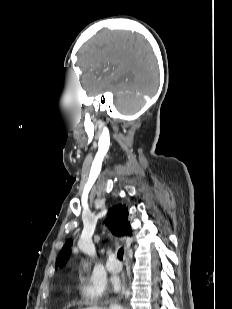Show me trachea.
Returning <instances> with one entry per match:
<instances>
[{"mask_svg": "<svg viewBox=\"0 0 232 309\" xmlns=\"http://www.w3.org/2000/svg\"><path fill=\"white\" fill-rule=\"evenodd\" d=\"M123 254H124V250H123V248H120L118 250V253H117V257H118L119 260L123 259Z\"/></svg>", "mask_w": 232, "mask_h": 309, "instance_id": "trachea-1", "label": "trachea"}]
</instances>
